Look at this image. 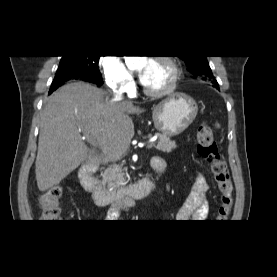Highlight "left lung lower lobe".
Listing matches in <instances>:
<instances>
[{
	"label": "left lung lower lobe",
	"instance_id": "obj_1",
	"mask_svg": "<svg viewBox=\"0 0 277 277\" xmlns=\"http://www.w3.org/2000/svg\"><path fill=\"white\" fill-rule=\"evenodd\" d=\"M218 86H219V85H215V87H216L217 89H219Z\"/></svg>",
	"mask_w": 277,
	"mask_h": 277
}]
</instances>
